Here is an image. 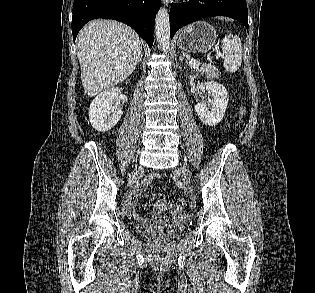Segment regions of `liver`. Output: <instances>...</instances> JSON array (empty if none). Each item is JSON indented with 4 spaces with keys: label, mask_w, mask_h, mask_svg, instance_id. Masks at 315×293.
<instances>
[{
    "label": "liver",
    "mask_w": 315,
    "mask_h": 293,
    "mask_svg": "<svg viewBox=\"0 0 315 293\" xmlns=\"http://www.w3.org/2000/svg\"><path fill=\"white\" fill-rule=\"evenodd\" d=\"M77 47L81 81L89 97L127 79L142 55L137 33L112 20L88 23L78 35Z\"/></svg>",
    "instance_id": "obj_1"
}]
</instances>
